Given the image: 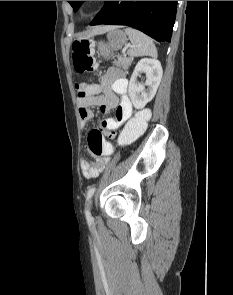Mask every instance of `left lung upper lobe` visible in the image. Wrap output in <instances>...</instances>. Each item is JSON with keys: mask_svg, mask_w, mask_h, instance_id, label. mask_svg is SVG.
Returning a JSON list of instances; mask_svg holds the SVG:
<instances>
[{"mask_svg": "<svg viewBox=\"0 0 233 295\" xmlns=\"http://www.w3.org/2000/svg\"><path fill=\"white\" fill-rule=\"evenodd\" d=\"M70 5L73 7L74 11L78 9V7L82 4L84 1H68Z\"/></svg>", "mask_w": 233, "mask_h": 295, "instance_id": "1", "label": "left lung upper lobe"}]
</instances>
